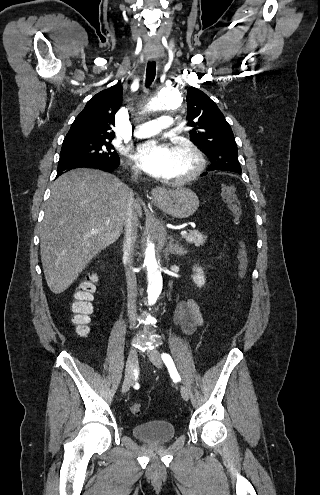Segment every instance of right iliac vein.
Segmentation results:
<instances>
[{"label":"right iliac vein","instance_id":"63e3f726","mask_svg":"<svg viewBox=\"0 0 320 495\" xmlns=\"http://www.w3.org/2000/svg\"><path fill=\"white\" fill-rule=\"evenodd\" d=\"M137 363V351L134 347H130L128 354V362L126 366L124 382L122 385V393H126L133 384L134 366Z\"/></svg>","mask_w":320,"mask_h":495}]
</instances>
